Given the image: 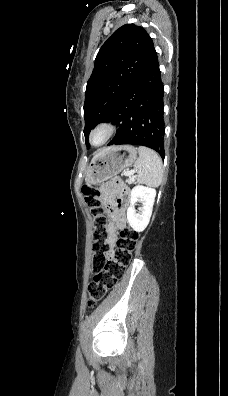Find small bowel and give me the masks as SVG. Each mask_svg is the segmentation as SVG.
<instances>
[{
    "label": "small bowel",
    "mask_w": 228,
    "mask_h": 396,
    "mask_svg": "<svg viewBox=\"0 0 228 396\" xmlns=\"http://www.w3.org/2000/svg\"><path fill=\"white\" fill-rule=\"evenodd\" d=\"M101 192L105 206L108 208H112V222L109 224L108 228L112 234L113 239L117 229H122L125 226L123 198L122 196H119L115 200L114 188L111 184L103 185Z\"/></svg>",
    "instance_id": "obj_1"
}]
</instances>
